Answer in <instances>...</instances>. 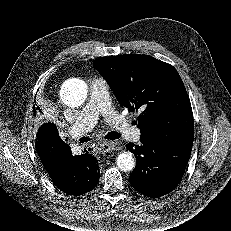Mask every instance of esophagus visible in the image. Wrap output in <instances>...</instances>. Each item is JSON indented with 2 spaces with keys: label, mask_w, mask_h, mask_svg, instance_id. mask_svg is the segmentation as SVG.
Instances as JSON below:
<instances>
[{
  "label": "esophagus",
  "mask_w": 231,
  "mask_h": 231,
  "mask_svg": "<svg viewBox=\"0 0 231 231\" xmlns=\"http://www.w3.org/2000/svg\"><path fill=\"white\" fill-rule=\"evenodd\" d=\"M116 144L117 143H115L113 141H103L100 144V150H101V152H104V153L111 152V151L115 150Z\"/></svg>",
  "instance_id": "obj_1"
}]
</instances>
